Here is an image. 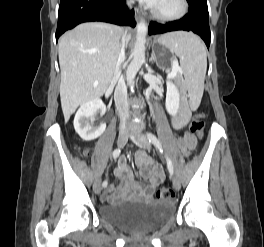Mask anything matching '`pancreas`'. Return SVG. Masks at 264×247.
I'll use <instances>...</instances> for the list:
<instances>
[{"label": "pancreas", "mask_w": 264, "mask_h": 247, "mask_svg": "<svg viewBox=\"0 0 264 247\" xmlns=\"http://www.w3.org/2000/svg\"><path fill=\"white\" fill-rule=\"evenodd\" d=\"M176 79H177V80H180V79H181V76L178 74V75L176 76Z\"/></svg>", "instance_id": "cf45deb5"}]
</instances>
